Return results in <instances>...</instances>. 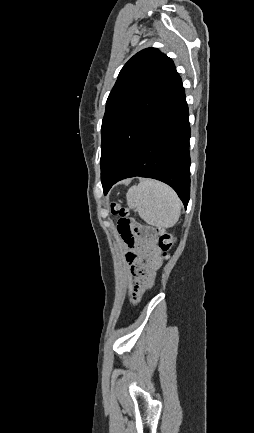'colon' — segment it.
Wrapping results in <instances>:
<instances>
[{
    "label": "colon",
    "instance_id": "5ec220e1",
    "mask_svg": "<svg viewBox=\"0 0 254 433\" xmlns=\"http://www.w3.org/2000/svg\"><path fill=\"white\" fill-rule=\"evenodd\" d=\"M111 212L120 217L118 221V232L122 240L128 245L132 246L135 242L136 236H157L159 249L164 255H168L172 249L176 238L175 236L164 228H145L138 220L129 213V211L118 203L111 204Z\"/></svg>",
    "mask_w": 254,
    "mask_h": 433
}]
</instances>
